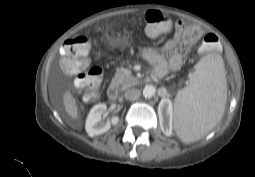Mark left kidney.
<instances>
[{"label":"left kidney","instance_id":"1","mask_svg":"<svg viewBox=\"0 0 255 177\" xmlns=\"http://www.w3.org/2000/svg\"><path fill=\"white\" fill-rule=\"evenodd\" d=\"M158 113L162 124L163 132L170 136L172 133L173 108L169 99H163L158 107Z\"/></svg>","mask_w":255,"mask_h":177}]
</instances>
